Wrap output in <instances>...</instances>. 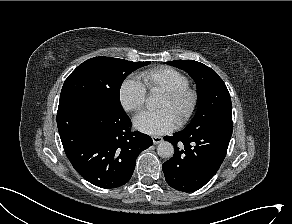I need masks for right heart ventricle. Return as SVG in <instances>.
Wrapping results in <instances>:
<instances>
[{"label":"right heart ventricle","mask_w":292,"mask_h":224,"mask_svg":"<svg viewBox=\"0 0 292 224\" xmlns=\"http://www.w3.org/2000/svg\"><path fill=\"white\" fill-rule=\"evenodd\" d=\"M140 78L144 87L151 92H163L187 86L189 83L188 78L183 73L168 66H159L146 70L141 73Z\"/></svg>","instance_id":"obj_1"}]
</instances>
